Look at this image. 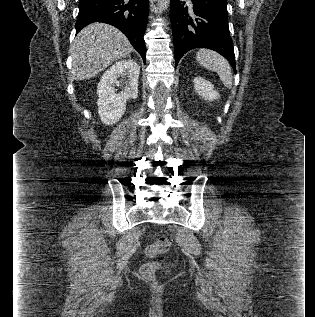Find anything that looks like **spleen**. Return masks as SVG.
Returning <instances> with one entry per match:
<instances>
[{"label":"spleen","mask_w":315,"mask_h":317,"mask_svg":"<svg viewBox=\"0 0 315 317\" xmlns=\"http://www.w3.org/2000/svg\"><path fill=\"white\" fill-rule=\"evenodd\" d=\"M196 58L201 66L215 71L219 75L222 83L227 88H231L232 70L228 61L224 57L212 50L200 49L197 52Z\"/></svg>","instance_id":"3e777b00"}]
</instances>
